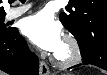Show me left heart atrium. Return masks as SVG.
<instances>
[{"label":"left heart atrium","instance_id":"left-heart-atrium-1","mask_svg":"<svg viewBox=\"0 0 107 75\" xmlns=\"http://www.w3.org/2000/svg\"><path fill=\"white\" fill-rule=\"evenodd\" d=\"M22 30L35 45L50 52H57L63 43L61 25L47 11L27 17Z\"/></svg>","mask_w":107,"mask_h":75}]
</instances>
